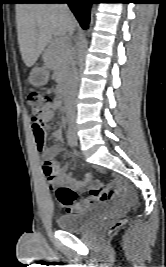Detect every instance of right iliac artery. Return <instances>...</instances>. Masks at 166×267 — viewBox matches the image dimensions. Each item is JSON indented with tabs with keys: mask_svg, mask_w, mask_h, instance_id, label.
<instances>
[{
	"mask_svg": "<svg viewBox=\"0 0 166 267\" xmlns=\"http://www.w3.org/2000/svg\"><path fill=\"white\" fill-rule=\"evenodd\" d=\"M67 140L70 146H74L75 145V140H74V136L70 131V127L67 130Z\"/></svg>",
	"mask_w": 166,
	"mask_h": 267,
	"instance_id": "82829eb1",
	"label": "right iliac artery"
}]
</instances>
